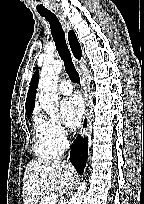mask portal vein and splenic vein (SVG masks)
<instances>
[{
  "mask_svg": "<svg viewBox=\"0 0 144 204\" xmlns=\"http://www.w3.org/2000/svg\"><path fill=\"white\" fill-rule=\"evenodd\" d=\"M57 196L52 193L49 196L46 197L44 200V204H56Z\"/></svg>",
  "mask_w": 144,
  "mask_h": 204,
  "instance_id": "18ae733b",
  "label": "portal vein and splenic vein"
}]
</instances>
